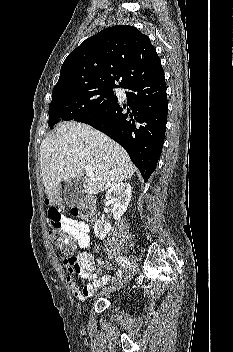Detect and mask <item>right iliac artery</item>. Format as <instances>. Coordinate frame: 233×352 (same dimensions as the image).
<instances>
[{
    "instance_id": "obj_1",
    "label": "right iliac artery",
    "mask_w": 233,
    "mask_h": 352,
    "mask_svg": "<svg viewBox=\"0 0 233 352\" xmlns=\"http://www.w3.org/2000/svg\"><path fill=\"white\" fill-rule=\"evenodd\" d=\"M116 261L119 264H121L123 267L129 268V269L131 268L130 261L126 257L119 256L116 258Z\"/></svg>"
}]
</instances>
